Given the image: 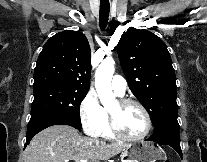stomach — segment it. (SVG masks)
Returning <instances> with one entry per match:
<instances>
[{"label":"stomach","mask_w":207,"mask_h":162,"mask_svg":"<svg viewBox=\"0 0 207 162\" xmlns=\"http://www.w3.org/2000/svg\"><path fill=\"white\" fill-rule=\"evenodd\" d=\"M122 162H156L166 160L164 150L150 142L133 143L121 153Z\"/></svg>","instance_id":"1"}]
</instances>
